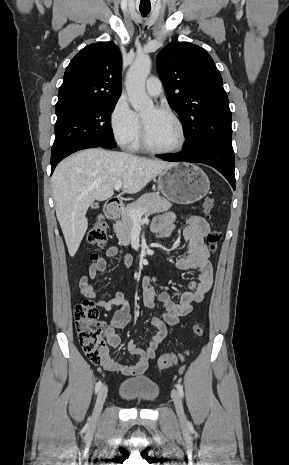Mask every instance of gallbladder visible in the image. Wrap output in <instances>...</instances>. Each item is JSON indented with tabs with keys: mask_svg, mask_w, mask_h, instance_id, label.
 I'll use <instances>...</instances> for the list:
<instances>
[{
	"mask_svg": "<svg viewBox=\"0 0 289 465\" xmlns=\"http://www.w3.org/2000/svg\"><path fill=\"white\" fill-rule=\"evenodd\" d=\"M91 207H92V208H97V207H98V204H97V203H93V204L91 205Z\"/></svg>",
	"mask_w": 289,
	"mask_h": 465,
	"instance_id": "obj_1",
	"label": "gallbladder"
}]
</instances>
